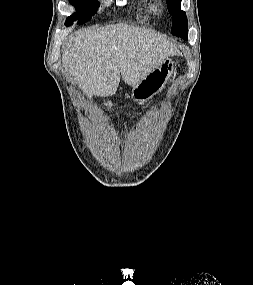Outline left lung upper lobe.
<instances>
[{
    "instance_id": "left-lung-upper-lobe-1",
    "label": "left lung upper lobe",
    "mask_w": 253,
    "mask_h": 285,
    "mask_svg": "<svg viewBox=\"0 0 253 285\" xmlns=\"http://www.w3.org/2000/svg\"><path fill=\"white\" fill-rule=\"evenodd\" d=\"M181 0H167L169 13L173 17L171 33L187 40L188 22L186 13L180 9Z\"/></svg>"
}]
</instances>
